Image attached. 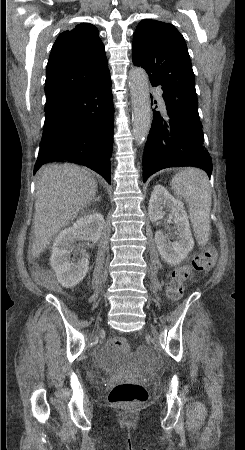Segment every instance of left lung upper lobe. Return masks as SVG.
I'll return each instance as SVG.
<instances>
[{
  "instance_id": "left-lung-upper-lobe-1",
  "label": "left lung upper lobe",
  "mask_w": 245,
  "mask_h": 450,
  "mask_svg": "<svg viewBox=\"0 0 245 450\" xmlns=\"http://www.w3.org/2000/svg\"><path fill=\"white\" fill-rule=\"evenodd\" d=\"M132 59L136 66L146 70L150 80L198 113L195 76L187 45L173 25L142 20L134 32Z\"/></svg>"
}]
</instances>
